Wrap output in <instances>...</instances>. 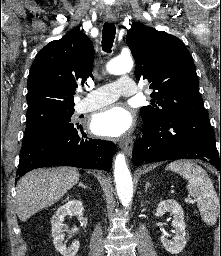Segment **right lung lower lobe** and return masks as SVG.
Instances as JSON below:
<instances>
[{
  "label": "right lung lower lobe",
  "mask_w": 221,
  "mask_h": 256,
  "mask_svg": "<svg viewBox=\"0 0 221 256\" xmlns=\"http://www.w3.org/2000/svg\"><path fill=\"white\" fill-rule=\"evenodd\" d=\"M115 152L113 142L91 139L79 125L71 122L50 124L24 136L17 176L49 166L109 171Z\"/></svg>",
  "instance_id": "right-lung-lower-lobe-1"
}]
</instances>
